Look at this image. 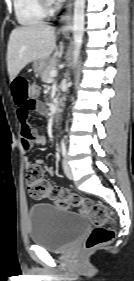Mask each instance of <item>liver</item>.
Returning <instances> with one entry per match:
<instances>
[{"label":"liver","mask_w":134,"mask_h":281,"mask_svg":"<svg viewBox=\"0 0 134 281\" xmlns=\"http://www.w3.org/2000/svg\"><path fill=\"white\" fill-rule=\"evenodd\" d=\"M56 50L55 28L43 22H35L15 28L7 47V69L13 81L20 71L32 61L47 60Z\"/></svg>","instance_id":"6515ba94"}]
</instances>
